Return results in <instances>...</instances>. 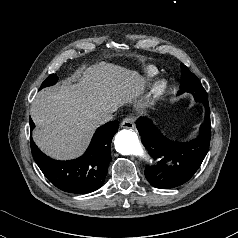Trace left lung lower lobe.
Listing matches in <instances>:
<instances>
[{"label":"left lung lower lobe","mask_w":238,"mask_h":238,"mask_svg":"<svg viewBox=\"0 0 238 238\" xmlns=\"http://www.w3.org/2000/svg\"><path fill=\"white\" fill-rule=\"evenodd\" d=\"M199 135L189 142H175L164 136L152 120L140 117L136 127L142 144L155 164L145 170V176L156 188L169 189L187 182L201 166L209 149L211 138L210 109L208 102Z\"/></svg>","instance_id":"1"}]
</instances>
